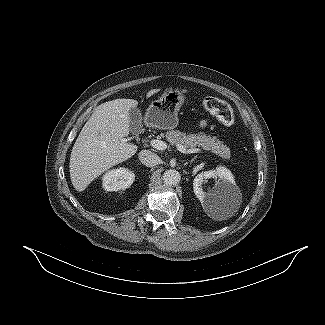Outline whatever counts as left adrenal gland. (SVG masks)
Wrapping results in <instances>:
<instances>
[{"mask_svg": "<svg viewBox=\"0 0 325 325\" xmlns=\"http://www.w3.org/2000/svg\"><path fill=\"white\" fill-rule=\"evenodd\" d=\"M197 157H194L191 161H190V164H192L193 161H195Z\"/></svg>", "mask_w": 325, "mask_h": 325, "instance_id": "1", "label": "left adrenal gland"}]
</instances>
